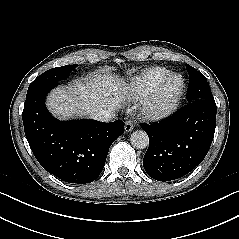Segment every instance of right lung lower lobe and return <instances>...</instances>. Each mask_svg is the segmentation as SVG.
Wrapping results in <instances>:
<instances>
[{
  "label": "right lung lower lobe",
  "mask_w": 239,
  "mask_h": 239,
  "mask_svg": "<svg viewBox=\"0 0 239 239\" xmlns=\"http://www.w3.org/2000/svg\"><path fill=\"white\" fill-rule=\"evenodd\" d=\"M57 84L27 91L22 113L25 135L49 173L69 183H90L100 175L111 144L124 133V123L55 119L45 98Z\"/></svg>",
  "instance_id": "right-lung-lower-lobe-1"
}]
</instances>
